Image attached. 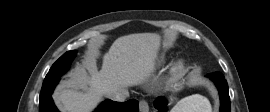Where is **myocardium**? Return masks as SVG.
<instances>
[{
	"mask_svg": "<svg viewBox=\"0 0 270 112\" xmlns=\"http://www.w3.org/2000/svg\"><path fill=\"white\" fill-rule=\"evenodd\" d=\"M185 65V61L183 59H179L176 61V63L174 64V67H173V72H179L183 69Z\"/></svg>",
	"mask_w": 270,
	"mask_h": 112,
	"instance_id": "1",
	"label": "myocardium"
}]
</instances>
